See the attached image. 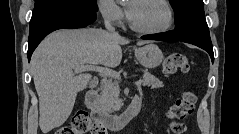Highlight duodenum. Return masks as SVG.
<instances>
[{"mask_svg":"<svg viewBox=\"0 0 239 134\" xmlns=\"http://www.w3.org/2000/svg\"><path fill=\"white\" fill-rule=\"evenodd\" d=\"M86 105L90 110L93 121L102 125L105 129L119 131L138 115L143 106V98L140 95H135L121 114L109 115L101 107L98 93L91 90L86 94Z\"/></svg>","mask_w":239,"mask_h":134,"instance_id":"obj_1","label":"duodenum"}]
</instances>
